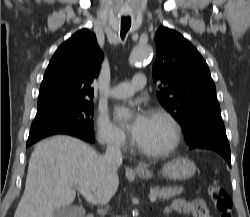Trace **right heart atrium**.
Instances as JSON below:
<instances>
[{
	"label": "right heart atrium",
	"instance_id": "d8ad5b80",
	"mask_svg": "<svg viewBox=\"0 0 250 217\" xmlns=\"http://www.w3.org/2000/svg\"><path fill=\"white\" fill-rule=\"evenodd\" d=\"M96 132L100 143L108 148L125 150L128 147L125 133L103 113L97 117Z\"/></svg>",
	"mask_w": 250,
	"mask_h": 217
}]
</instances>
